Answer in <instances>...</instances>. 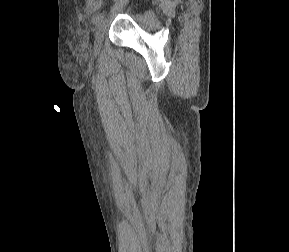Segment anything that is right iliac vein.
I'll use <instances>...</instances> for the list:
<instances>
[{
    "label": "right iliac vein",
    "mask_w": 289,
    "mask_h": 252,
    "mask_svg": "<svg viewBox=\"0 0 289 252\" xmlns=\"http://www.w3.org/2000/svg\"><path fill=\"white\" fill-rule=\"evenodd\" d=\"M105 26H106V22L103 20L96 29L95 32V46L94 49L95 51L99 52L100 47H101V42L104 36V32H105Z\"/></svg>",
    "instance_id": "63e3f726"
}]
</instances>
